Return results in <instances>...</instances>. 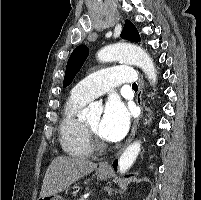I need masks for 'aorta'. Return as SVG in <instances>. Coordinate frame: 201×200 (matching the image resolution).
Here are the masks:
<instances>
[{
    "label": "aorta",
    "mask_w": 201,
    "mask_h": 200,
    "mask_svg": "<svg viewBox=\"0 0 201 200\" xmlns=\"http://www.w3.org/2000/svg\"><path fill=\"white\" fill-rule=\"evenodd\" d=\"M97 58L101 62L122 61L136 65L144 71L150 83L155 84L157 81L153 60L143 49L135 45L118 43L104 47L98 52ZM87 113H90V109H87ZM140 149L141 142L135 141L124 150L118 162V170L121 174L133 165Z\"/></svg>",
    "instance_id": "762f6f07"
}]
</instances>
